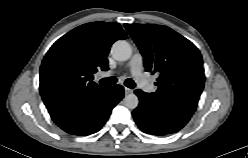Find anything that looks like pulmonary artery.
Instances as JSON below:
<instances>
[{"label": "pulmonary artery", "mask_w": 248, "mask_h": 158, "mask_svg": "<svg viewBox=\"0 0 248 158\" xmlns=\"http://www.w3.org/2000/svg\"><path fill=\"white\" fill-rule=\"evenodd\" d=\"M127 67L131 70V73L138 83L139 87L144 91L150 92L153 87L149 79L143 74V57L139 52L133 54L129 60Z\"/></svg>", "instance_id": "obj_1"}]
</instances>
